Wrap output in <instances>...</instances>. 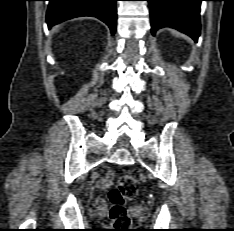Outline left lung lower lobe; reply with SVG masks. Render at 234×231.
I'll list each match as a JSON object with an SVG mask.
<instances>
[{
    "label": "left lung lower lobe",
    "instance_id": "1",
    "mask_svg": "<svg viewBox=\"0 0 234 231\" xmlns=\"http://www.w3.org/2000/svg\"><path fill=\"white\" fill-rule=\"evenodd\" d=\"M150 5L152 34L172 27L198 40L201 30L200 4L204 0H147Z\"/></svg>",
    "mask_w": 234,
    "mask_h": 231
}]
</instances>
